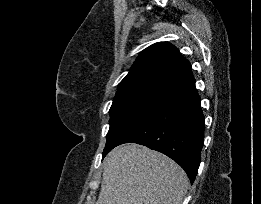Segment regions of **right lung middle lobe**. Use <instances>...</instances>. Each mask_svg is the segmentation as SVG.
<instances>
[{
	"mask_svg": "<svg viewBox=\"0 0 261 204\" xmlns=\"http://www.w3.org/2000/svg\"><path fill=\"white\" fill-rule=\"evenodd\" d=\"M167 96L166 93L139 91L116 95L110 108V128L105 154L133 126L149 114Z\"/></svg>",
	"mask_w": 261,
	"mask_h": 204,
	"instance_id": "obj_1",
	"label": "right lung middle lobe"
}]
</instances>
